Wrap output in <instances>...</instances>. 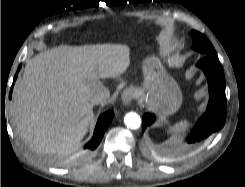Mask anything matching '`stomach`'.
Returning <instances> with one entry per match:
<instances>
[{"mask_svg":"<svg viewBox=\"0 0 245 187\" xmlns=\"http://www.w3.org/2000/svg\"><path fill=\"white\" fill-rule=\"evenodd\" d=\"M143 82L133 88L134 94L150 109L168 116L182 103V93L175 80L159 62L146 59L142 64Z\"/></svg>","mask_w":245,"mask_h":187,"instance_id":"stomach-1","label":"stomach"}]
</instances>
